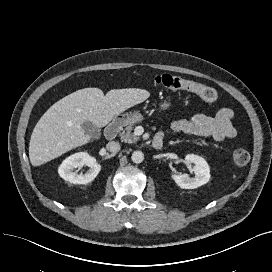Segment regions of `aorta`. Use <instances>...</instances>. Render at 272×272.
<instances>
[{
	"instance_id": "aorta-1",
	"label": "aorta",
	"mask_w": 272,
	"mask_h": 272,
	"mask_svg": "<svg viewBox=\"0 0 272 272\" xmlns=\"http://www.w3.org/2000/svg\"><path fill=\"white\" fill-rule=\"evenodd\" d=\"M131 159H132V161L134 163L139 164V163L143 162V160H144V154H143L142 151H134L132 153Z\"/></svg>"
}]
</instances>
